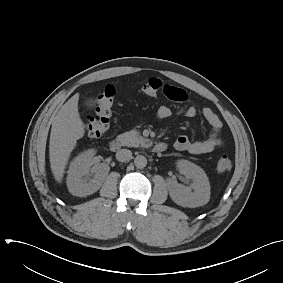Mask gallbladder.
<instances>
[{"mask_svg":"<svg viewBox=\"0 0 283 283\" xmlns=\"http://www.w3.org/2000/svg\"><path fill=\"white\" fill-rule=\"evenodd\" d=\"M94 104V102L92 101V100H90L89 102H88V105H93Z\"/></svg>","mask_w":283,"mask_h":283,"instance_id":"gallbladder-1","label":"gallbladder"}]
</instances>
